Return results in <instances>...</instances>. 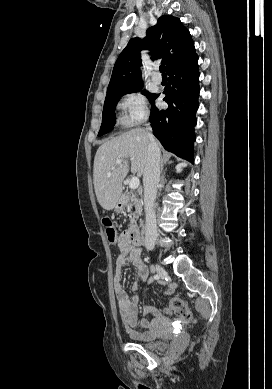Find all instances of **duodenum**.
<instances>
[{"label": "duodenum", "instance_id": "410a0bca", "mask_svg": "<svg viewBox=\"0 0 272 389\" xmlns=\"http://www.w3.org/2000/svg\"><path fill=\"white\" fill-rule=\"evenodd\" d=\"M129 200V196L128 195H123L121 197V203L122 204H125L127 203ZM128 234H129V239L131 241V243L134 245V246H141L142 243H143V238L141 236V232H140V227L139 226H134L132 227L129 231H128Z\"/></svg>", "mask_w": 272, "mask_h": 389}]
</instances>
